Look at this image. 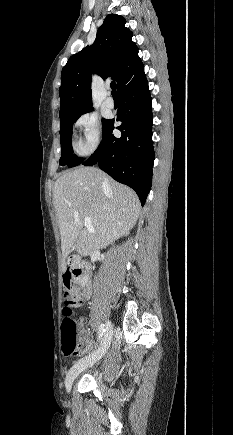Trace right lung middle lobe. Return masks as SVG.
Returning a JSON list of instances; mask_svg holds the SVG:
<instances>
[{"mask_svg": "<svg viewBox=\"0 0 233 435\" xmlns=\"http://www.w3.org/2000/svg\"><path fill=\"white\" fill-rule=\"evenodd\" d=\"M92 110V109H91ZM89 110V111H91ZM86 111V112H89ZM84 112V113H86ZM84 113L66 117H60L61 127H60V140H61V158L59 165H67L69 168L79 165L83 162V159L78 158L73 154L72 148V128L76 120ZM109 120L102 119L103 131L108 125Z\"/></svg>", "mask_w": 233, "mask_h": 435, "instance_id": "1", "label": "right lung middle lobe"}]
</instances>
